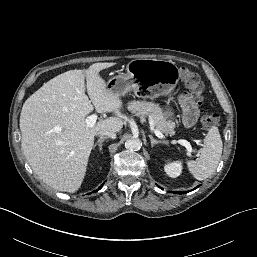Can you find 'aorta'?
<instances>
[{
	"label": "aorta",
	"mask_w": 257,
	"mask_h": 257,
	"mask_svg": "<svg viewBox=\"0 0 257 257\" xmlns=\"http://www.w3.org/2000/svg\"><path fill=\"white\" fill-rule=\"evenodd\" d=\"M141 141L138 138H132L125 142V147L128 150H139L141 148Z\"/></svg>",
	"instance_id": "1"
}]
</instances>
